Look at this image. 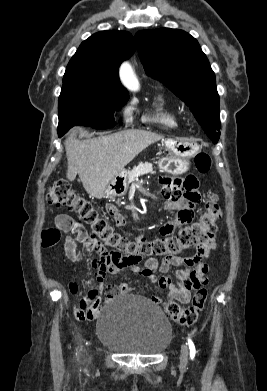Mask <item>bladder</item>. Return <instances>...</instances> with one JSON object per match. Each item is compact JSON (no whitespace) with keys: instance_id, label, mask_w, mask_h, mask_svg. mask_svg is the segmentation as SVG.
<instances>
[{"instance_id":"31cf9c89","label":"bladder","mask_w":267,"mask_h":391,"mask_svg":"<svg viewBox=\"0 0 267 391\" xmlns=\"http://www.w3.org/2000/svg\"><path fill=\"white\" fill-rule=\"evenodd\" d=\"M97 336L120 353L155 355L169 346L172 326L158 306L139 297L119 296L102 308Z\"/></svg>"}]
</instances>
